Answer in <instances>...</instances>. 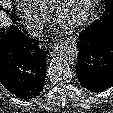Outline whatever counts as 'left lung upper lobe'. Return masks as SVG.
Wrapping results in <instances>:
<instances>
[{"label": "left lung upper lobe", "mask_w": 113, "mask_h": 113, "mask_svg": "<svg viewBox=\"0 0 113 113\" xmlns=\"http://www.w3.org/2000/svg\"><path fill=\"white\" fill-rule=\"evenodd\" d=\"M107 19L113 20V0H106L105 11L103 15L94 23L105 21Z\"/></svg>", "instance_id": "left-lung-upper-lobe-1"}]
</instances>
